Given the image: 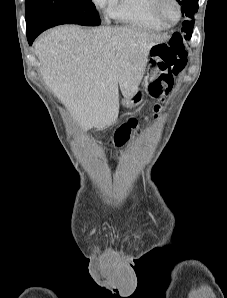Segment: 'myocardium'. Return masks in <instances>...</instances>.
I'll return each mask as SVG.
<instances>
[{
  "instance_id": "1",
  "label": "myocardium",
  "mask_w": 227,
  "mask_h": 298,
  "mask_svg": "<svg viewBox=\"0 0 227 298\" xmlns=\"http://www.w3.org/2000/svg\"><path fill=\"white\" fill-rule=\"evenodd\" d=\"M166 0H152V6H151V10L153 15L160 20L162 23H164L167 26H173L176 25L182 17V7L181 4L179 2V0H170L171 2H173L177 8V17L175 20L170 21L169 19H167L163 12H162V4L163 2H165Z\"/></svg>"
}]
</instances>
